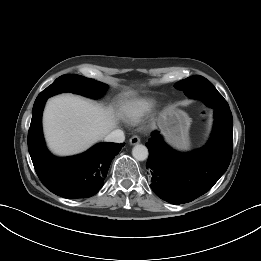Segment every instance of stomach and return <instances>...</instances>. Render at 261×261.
Returning <instances> with one entry per match:
<instances>
[{
  "label": "stomach",
  "instance_id": "obj_1",
  "mask_svg": "<svg viewBox=\"0 0 261 261\" xmlns=\"http://www.w3.org/2000/svg\"><path fill=\"white\" fill-rule=\"evenodd\" d=\"M191 118L182 110L169 106L162 111L158 118V125L169 144L180 150L190 147L189 128Z\"/></svg>",
  "mask_w": 261,
  "mask_h": 261
}]
</instances>
